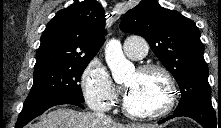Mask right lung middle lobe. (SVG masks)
<instances>
[{"instance_id":"obj_1","label":"right lung middle lobe","mask_w":221,"mask_h":128,"mask_svg":"<svg viewBox=\"0 0 221 128\" xmlns=\"http://www.w3.org/2000/svg\"><path fill=\"white\" fill-rule=\"evenodd\" d=\"M90 61L83 59L34 70L33 86L24 106L55 97L69 98L83 103L84 98L78 82Z\"/></svg>"}]
</instances>
